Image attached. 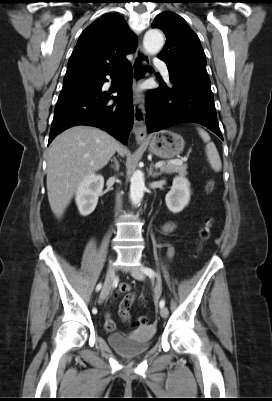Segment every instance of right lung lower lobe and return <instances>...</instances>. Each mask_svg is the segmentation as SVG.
<instances>
[{
    "mask_svg": "<svg viewBox=\"0 0 272 401\" xmlns=\"http://www.w3.org/2000/svg\"><path fill=\"white\" fill-rule=\"evenodd\" d=\"M112 78L122 75L116 87L117 97L104 92L106 76L67 92L60 93L54 112L48 144L62 131L72 126L89 125L101 128L124 144L133 126V70L129 61L108 73ZM113 99L114 103H109Z\"/></svg>",
    "mask_w": 272,
    "mask_h": 401,
    "instance_id": "obj_1",
    "label": "right lung lower lobe"
}]
</instances>
